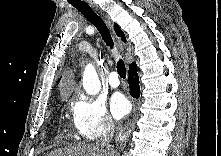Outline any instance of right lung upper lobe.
<instances>
[{
    "mask_svg": "<svg viewBox=\"0 0 221 156\" xmlns=\"http://www.w3.org/2000/svg\"><path fill=\"white\" fill-rule=\"evenodd\" d=\"M114 29H115V32H116L117 36H120L121 39L124 42H126V38H125V35H124L123 31L120 29V27L116 23L114 24ZM132 64H135V63H132Z\"/></svg>",
    "mask_w": 221,
    "mask_h": 156,
    "instance_id": "obj_1",
    "label": "right lung upper lobe"
}]
</instances>
